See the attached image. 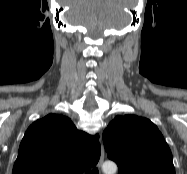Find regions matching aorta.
<instances>
[{"label":"aorta","mask_w":187,"mask_h":174,"mask_svg":"<svg viewBox=\"0 0 187 174\" xmlns=\"http://www.w3.org/2000/svg\"><path fill=\"white\" fill-rule=\"evenodd\" d=\"M102 170L104 174H115L117 166L114 162L107 161L103 164Z\"/></svg>","instance_id":"obj_1"}]
</instances>
